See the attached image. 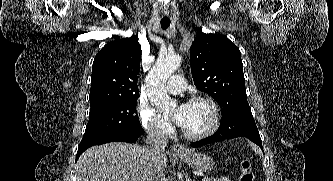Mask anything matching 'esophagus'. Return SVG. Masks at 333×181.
I'll list each match as a JSON object with an SVG mask.
<instances>
[{
	"label": "esophagus",
	"instance_id": "1",
	"mask_svg": "<svg viewBox=\"0 0 333 181\" xmlns=\"http://www.w3.org/2000/svg\"><path fill=\"white\" fill-rule=\"evenodd\" d=\"M172 152L176 155H185V154H187V150L182 144H173Z\"/></svg>",
	"mask_w": 333,
	"mask_h": 181
}]
</instances>
